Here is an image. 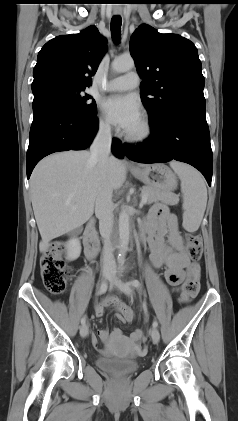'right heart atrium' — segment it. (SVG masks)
<instances>
[{"label": "right heart atrium", "mask_w": 238, "mask_h": 421, "mask_svg": "<svg viewBox=\"0 0 238 421\" xmlns=\"http://www.w3.org/2000/svg\"><path fill=\"white\" fill-rule=\"evenodd\" d=\"M98 128H99V131L104 135H110L113 130L110 121L103 115L99 117Z\"/></svg>", "instance_id": "obj_1"}]
</instances>
